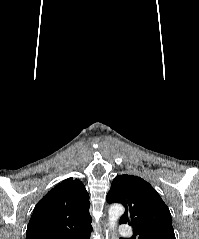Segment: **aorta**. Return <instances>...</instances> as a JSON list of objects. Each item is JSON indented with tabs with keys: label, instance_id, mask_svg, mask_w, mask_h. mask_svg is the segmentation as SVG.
<instances>
[{
	"label": "aorta",
	"instance_id": "aorta-1",
	"mask_svg": "<svg viewBox=\"0 0 199 239\" xmlns=\"http://www.w3.org/2000/svg\"><path fill=\"white\" fill-rule=\"evenodd\" d=\"M124 213V207L120 204H113L108 211V219H109V229L113 231L112 239H117L115 235V228L117 226V221Z\"/></svg>",
	"mask_w": 199,
	"mask_h": 239
}]
</instances>
